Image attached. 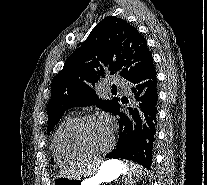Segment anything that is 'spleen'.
Segmentation results:
<instances>
[{
	"label": "spleen",
	"mask_w": 207,
	"mask_h": 185,
	"mask_svg": "<svg viewBox=\"0 0 207 185\" xmlns=\"http://www.w3.org/2000/svg\"><path fill=\"white\" fill-rule=\"evenodd\" d=\"M125 171H130L124 174L123 183H134L137 177H147L145 167L139 166V162H129V158H124Z\"/></svg>",
	"instance_id": "1"
}]
</instances>
